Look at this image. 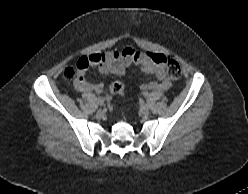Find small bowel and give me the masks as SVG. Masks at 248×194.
I'll return each mask as SVG.
<instances>
[{
  "mask_svg": "<svg viewBox=\"0 0 248 194\" xmlns=\"http://www.w3.org/2000/svg\"><path fill=\"white\" fill-rule=\"evenodd\" d=\"M155 53L138 51L132 47L121 50H112L104 53L91 55L95 65L99 66L102 73L112 75H124L131 65L138 66L143 72L153 74L156 81L141 85L144 91H167L171 87V80L166 76L163 66L156 64L152 56ZM75 88L82 92L100 93L103 89L102 83H90L87 81L85 71L79 73L75 80Z\"/></svg>",
  "mask_w": 248,
  "mask_h": 194,
  "instance_id": "c3829d8e",
  "label": "small bowel"
}]
</instances>
